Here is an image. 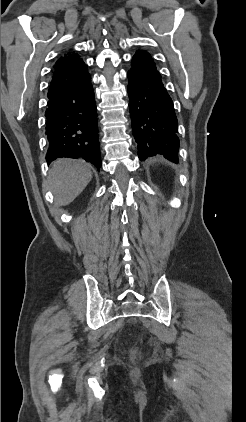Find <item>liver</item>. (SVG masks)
<instances>
[{
  "instance_id": "1",
  "label": "liver",
  "mask_w": 246,
  "mask_h": 422,
  "mask_svg": "<svg viewBox=\"0 0 246 422\" xmlns=\"http://www.w3.org/2000/svg\"><path fill=\"white\" fill-rule=\"evenodd\" d=\"M92 179L91 165L82 160L58 159L49 170L47 184L56 206L70 204Z\"/></svg>"
}]
</instances>
